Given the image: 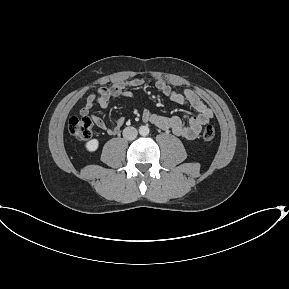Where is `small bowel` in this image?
Listing matches in <instances>:
<instances>
[{
	"label": "small bowel",
	"instance_id": "obj_1",
	"mask_svg": "<svg viewBox=\"0 0 289 289\" xmlns=\"http://www.w3.org/2000/svg\"><path fill=\"white\" fill-rule=\"evenodd\" d=\"M144 84V79L135 78L131 80L117 81L109 87H100L95 94H91L87 97L85 105L80 110V114L82 116L89 115L94 105L106 107L112 98H134V94L131 90L142 87ZM155 87L171 101L181 105H190L197 114L190 117L187 123H184L177 116L168 117L154 114L145 108L142 113L143 120L152 123L160 129L169 130L178 137L188 140L195 139L199 135L202 127L212 119V110L191 89L178 91L171 88L162 80H158ZM92 119L99 128L103 129L110 135L116 134L126 122L124 117H119L115 121L114 125L110 126L99 116L93 115Z\"/></svg>",
	"mask_w": 289,
	"mask_h": 289
}]
</instances>
